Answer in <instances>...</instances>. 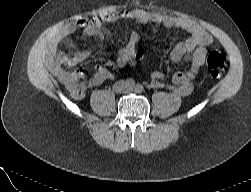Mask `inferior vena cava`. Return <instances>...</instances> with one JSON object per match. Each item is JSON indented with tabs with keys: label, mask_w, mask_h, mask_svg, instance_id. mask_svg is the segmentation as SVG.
I'll return each mask as SVG.
<instances>
[{
	"label": "inferior vena cava",
	"mask_w": 251,
	"mask_h": 192,
	"mask_svg": "<svg viewBox=\"0 0 251 192\" xmlns=\"http://www.w3.org/2000/svg\"><path fill=\"white\" fill-rule=\"evenodd\" d=\"M115 91L120 92L121 90L117 88V85H115Z\"/></svg>",
	"instance_id": "obj_1"
}]
</instances>
